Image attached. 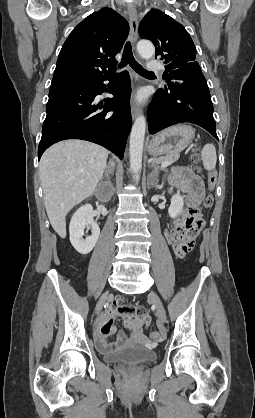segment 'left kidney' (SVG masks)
<instances>
[{"label": "left kidney", "instance_id": "left-kidney-1", "mask_svg": "<svg viewBox=\"0 0 255 418\" xmlns=\"http://www.w3.org/2000/svg\"><path fill=\"white\" fill-rule=\"evenodd\" d=\"M183 198L184 197L181 196L179 192L172 196L171 204L168 209V213L171 218L177 217L182 212L184 205Z\"/></svg>", "mask_w": 255, "mask_h": 418}]
</instances>
